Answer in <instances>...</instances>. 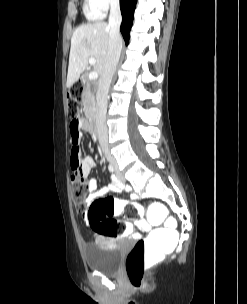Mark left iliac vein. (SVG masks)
<instances>
[{"label":"left iliac vein","instance_id":"obj_1","mask_svg":"<svg viewBox=\"0 0 247 304\" xmlns=\"http://www.w3.org/2000/svg\"><path fill=\"white\" fill-rule=\"evenodd\" d=\"M114 168H115V174H116V177L119 181L121 182H124L125 181V177L124 175L120 172L117 164H114Z\"/></svg>","mask_w":247,"mask_h":304}]
</instances>
